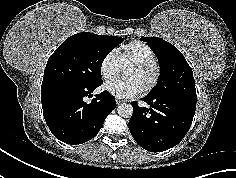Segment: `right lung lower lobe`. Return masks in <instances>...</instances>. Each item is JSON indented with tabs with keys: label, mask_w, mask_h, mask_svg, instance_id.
Segmentation results:
<instances>
[{
	"label": "right lung lower lobe",
	"mask_w": 236,
	"mask_h": 178,
	"mask_svg": "<svg viewBox=\"0 0 236 178\" xmlns=\"http://www.w3.org/2000/svg\"><path fill=\"white\" fill-rule=\"evenodd\" d=\"M100 86V85H99ZM98 86H77L64 82H46L41 86L45 121L60 141L82 144L97 135L106 117L116 107L114 97L106 91L95 95L90 103L85 97Z\"/></svg>",
	"instance_id": "98d812e1"
}]
</instances>
